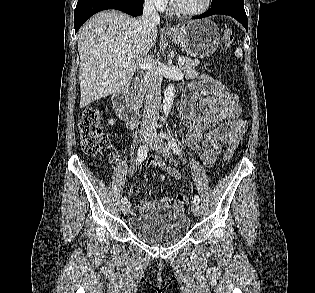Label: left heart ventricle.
I'll use <instances>...</instances> for the list:
<instances>
[{
  "mask_svg": "<svg viewBox=\"0 0 315 293\" xmlns=\"http://www.w3.org/2000/svg\"><path fill=\"white\" fill-rule=\"evenodd\" d=\"M179 5L186 10H197L200 9L205 0H177Z\"/></svg>",
  "mask_w": 315,
  "mask_h": 293,
  "instance_id": "obj_1",
  "label": "left heart ventricle"
}]
</instances>
